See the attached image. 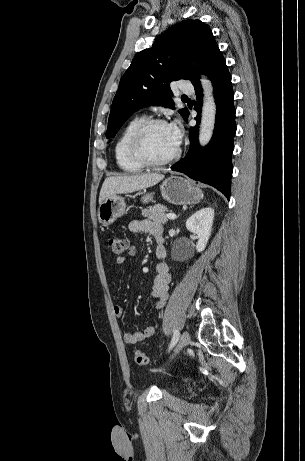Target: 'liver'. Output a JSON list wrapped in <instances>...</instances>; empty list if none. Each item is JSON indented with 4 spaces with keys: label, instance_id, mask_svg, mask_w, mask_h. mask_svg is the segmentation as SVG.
<instances>
[{
    "label": "liver",
    "instance_id": "obj_1",
    "mask_svg": "<svg viewBox=\"0 0 305 461\" xmlns=\"http://www.w3.org/2000/svg\"><path fill=\"white\" fill-rule=\"evenodd\" d=\"M164 178L158 173L112 176L105 179L99 194V204L114 194L132 193L156 185Z\"/></svg>",
    "mask_w": 305,
    "mask_h": 461
}]
</instances>
